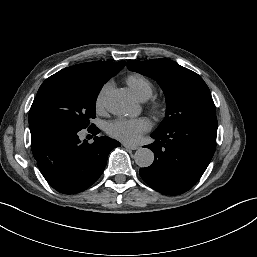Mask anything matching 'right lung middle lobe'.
Listing matches in <instances>:
<instances>
[{"label":"right lung middle lobe","instance_id":"right-lung-middle-lobe-1","mask_svg":"<svg viewBox=\"0 0 257 257\" xmlns=\"http://www.w3.org/2000/svg\"><path fill=\"white\" fill-rule=\"evenodd\" d=\"M106 82L94 81L67 68L47 78L29 111V125L46 124L65 130L93 128L97 96Z\"/></svg>","mask_w":257,"mask_h":257}]
</instances>
